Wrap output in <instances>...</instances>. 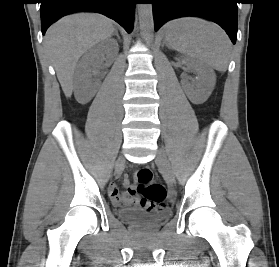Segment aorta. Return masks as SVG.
Masks as SVG:
<instances>
[{
	"label": "aorta",
	"instance_id": "762f6f07",
	"mask_svg": "<svg viewBox=\"0 0 279 267\" xmlns=\"http://www.w3.org/2000/svg\"><path fill=\"white\" fill-rule=\"evenodd\" d=\"M139 25L145 40L153 38L154 21L151 3H138Z\"/></svg>",
	"mask_w": 279,
	"mask_h": 267
}]
</instances>
